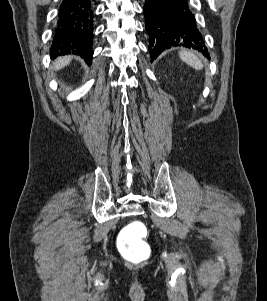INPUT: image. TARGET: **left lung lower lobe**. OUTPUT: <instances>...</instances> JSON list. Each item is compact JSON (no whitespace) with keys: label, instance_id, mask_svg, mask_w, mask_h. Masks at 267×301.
<instances>
[{"label":"left lung lower lobe","instance_id":"obj_1","mask_svg":"<svg viewBox=\"0 0 267 301\" xmlns=\"http://www.w3.org/2000/svg\"><path fill=\"white\" fill-rule=\"evenodd\" d=\"M143 11L151 62L172 46L196 49L210 59L188 0H145Z\"/></svg>","mask_w":267,"mask_h":301}]
</instances>
